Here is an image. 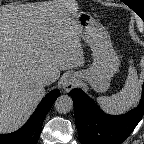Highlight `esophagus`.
<instances>
[{
	"label": "esophagus",
	"instance_id": "34e87169",
	"mask_svg": "<svg viewBox=\"0 0 144 144\" xmlns=\"http://www.w3.org/2000/svg\"><path fill=\"white\" fill-rule=\"evenodd\" d=\"M76 83L77 78L75 76H68L64 79L62 87L66 92H70L76 86Z\"/></svg>",
	"mask_w": 144,
	"mask_h": 144
}]
</instances>
